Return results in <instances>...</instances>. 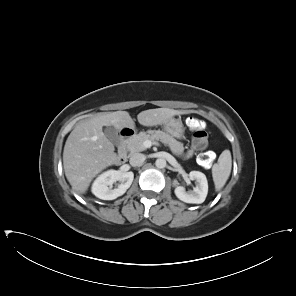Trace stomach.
<instances>
[{
  "mask_svg": "<svg viewBox=\"0 0 296 296\" xmlns=\"http://www.w3.org/2000/svg\"><path fill=\"white\" fill-rule=\"evenodd\" d=\"M164 130L167 134L178 140L185 139V127L181 119H171L164 125Z\"/></svg>",
  "mask_w": 296,
  "mask_h": 296,
  "instance_id": "1",
  "label": "stomach"
}]
</instances>
